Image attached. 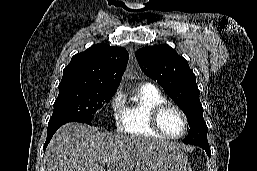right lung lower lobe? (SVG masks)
Returning a JSON list of instances; mask_svg holds the SVG:
<instances>
[{"label":"right lung lower lobe","mask_w":257,"mask_h":171,"mask_svg":"<svg viewBox=\"0 0 257 171\" xmlns=\"http://www.w3.org/2000/svg\"><path fill=\"white\" fill-rule=\"evenodd\" d=\"M68 122H75V121H61V122H55V123H51V124H48V133H47V139H46V142L44 144V150L46 149L48 143L50 142L52 136L54 135V133L57 131V129L62 126L63 124L65 123H68ZM79 122V121H77ZM84 123V122H83ZM91 125V123L89 124ZM45 152V151H44Z\"/></svg>","instance_id":"98d812e1"}]
</instances>
